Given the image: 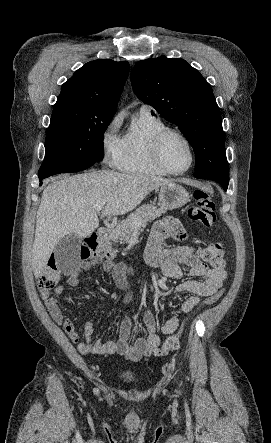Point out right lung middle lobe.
Segmentation results:
<instances>
[{
  "mask_svg": "<svg viewBox=\"0 0 271 443\" xmlns=\"http://www.w3.org/2000/svg\"><path fill=\"white\" fill-rule=\"evenodd\" d=\"M112 117H91L71 105L54 106L39 173L63 167H90L101 161L103 134Z\"/></svg>",
  "mask_w": 271,
  "mask_h": 443,
  "instance_id": "1",
  "label": "right lung middle lobe"
}]
</instances>
